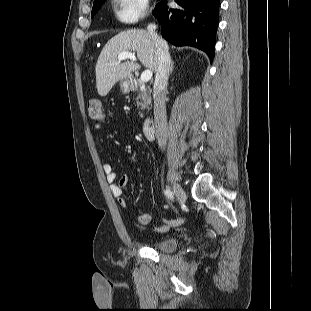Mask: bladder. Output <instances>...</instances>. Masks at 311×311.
Segmentation results:
<instances>
[{"label": "bladder", "instance_id": "1", "mask_svg": "<svg viewBox=\"0 0 311 311\" xmlns=\"http://www.w3.org/2000/svg\"><path fill=\"white\" fill-rule=\"evenodd\" d=\"M180 239L176 236H169L153 241L152 246L156 250L170 252L178 246Z\"/></svg>", "mask_w": 311, "mask_h": 311}]
</instances>
